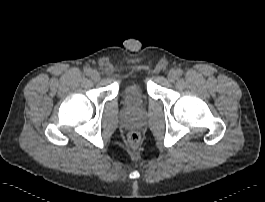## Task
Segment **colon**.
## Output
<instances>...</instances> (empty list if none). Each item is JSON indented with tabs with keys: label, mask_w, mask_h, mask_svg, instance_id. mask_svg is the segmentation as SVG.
Wrapping results in <instances>:
<instances>
[{
	"label": "colon",
	"mask_w": 265,
	"mask_h": 202,
	"mask_svg": "<svg viewBox=\"0 0 265 202\" xmlns=\"http://www.w3.org/2000/svg\"><path fill=\"white\" fill-rule=\"evenodd\" d=\"M140 140H141V135L138 132L132 131V132L129 133V135H128V141H129V143L132 146L138 145L139 142H140Z\"/></svg>",
	"instance_id": "obj_1"
}]
</instances>
